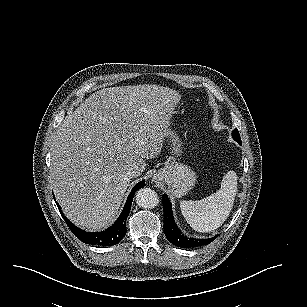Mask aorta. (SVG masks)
Segmentation results:
<instances>
[{"label":"aorta","mask_w":307,"mask_h":307,"mask_svg":"<svg viewBox=\"0 0 307 307\" xmlns=\"http://www.w3.org/2000/svg\"><path fill=\"white\" fill-rule=\"evenodd\" d=\"M135 201L141 208H151L158 203V196L151 188H141L135 194Z\"/></svg>","instance_id":"1"}]
</instances>
